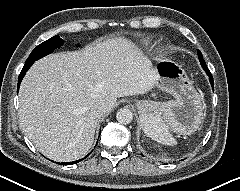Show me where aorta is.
Listing matches in <instances>:
<instances>
[{
  "mask_svg": "<svg viewBox=\"0 0 240 191\" xmlns=\"http://www.w3.org/2000/svg\"><path fill=\"white\" fill-rule=\"evenodd\" d=\"M116 119L121 124H129L133 120V113L128 108H121L117 111Z\"/></svg>",
  "mask_w": 240,
  "mask_h": 191,
  "instance_id": "762f6f07",
  "label": "aorta"
}]
</instances>
